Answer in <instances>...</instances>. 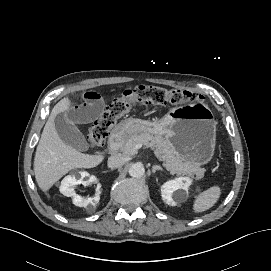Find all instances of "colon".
Masks as SVG:
<instances>
[{"label": "colon", "mask_w": 271, "mask_h": 271, "mask_svg": "<svg viewBox=\"0 0 271 271\" xmlns=\"http://www.w3.org/2000/svg\"><path fill=\"white\" fill-rule=\"evenodd\" d=\"M140 102L156 105L178 104L186 101H198L197 94L177 89H165L155 86H139L121 98L114 100L105 111L93 122L88 140L92 148L102 146L109 130L116 121L126 115L131 109V98Z\"/></svg>", "instance_id": "5ec220e1"}]
</instances>
